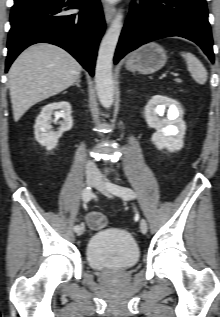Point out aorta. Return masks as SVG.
I'll return each instance as SVG.
<instances>
[{
    "label": "aorta",
    "mask_w": 220,
    "mask_h": 317,
    "mask_svg": "<svg viewBox=\"0 0 220 317\" xmlns=\"http://www.w3.org/2000/svg\"><path fill=\"white\" fill-rule=\"evenodd\" d=\"M122 26L123 15L118 12L106 31L98 50L95 84L99 101L104 108H110L114 101L112 65Z\"/></svg>",
    "instance_id": "obj_1"
}]
</instances>
